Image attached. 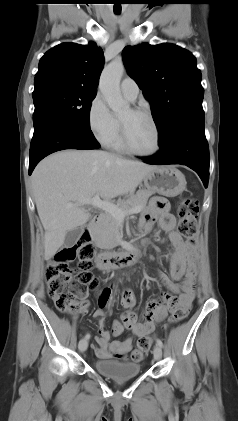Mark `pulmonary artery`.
I'll return each instance as SVG.
<instances>
[{"label":"pulmonary artery","instance_id":"1","mask_svg":"<svg viewBox=\"0 0 238 421\" xmlns=\"http://www.w3.org/2000/svg\"><path fill=\"white\" fill-rule=\"evenodd\" d=\"M120 89L122 94L130 101H134L139 94V87L132 78H124L121 82Z\"/></svg>","mask_w":238,"mask_h":421}]
</instances>
